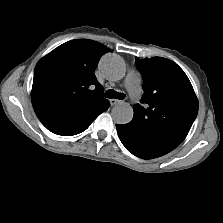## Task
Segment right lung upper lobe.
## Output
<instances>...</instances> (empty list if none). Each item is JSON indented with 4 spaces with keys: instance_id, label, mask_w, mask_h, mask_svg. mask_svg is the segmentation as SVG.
I'll list each match as a JSON object with an SVG mask.
<instances>
[{
    "instance_id": "cb5924a9",
    "label": "right lung upper lobe",
    "mask_w": 223,
    "mask_h": 223,
    "mask_svg": "<svg viewBox=\"0 0 223 223\" xmlns=\"http://www.w3.org/2000/svg\"><path fill=\"white\" fill-rule=\"evenodd\" d=\"M104 45L85 39L66 42L36 65L32 104L42 124L51 132L71 136L86 130L108 109L103 87L94 71Z\"/></svg>"
}]
</instances>
